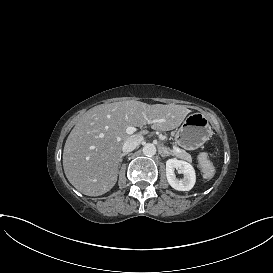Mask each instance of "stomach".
Here are the masks:
<instances>
[{
  "mask_svg": "<svg viewBox=\"0 0 273 273\" xmlns=\"http://www.w3.org/2000/svg\"><path fill=\"white\" fill-rule=\"evenodd\" d=\"M213 132L203 113L188 115L175 134L176 144L185 150H195L210 139Z\"/></svg>",
  "mask_w": 273,
  "mask_h": 273,
  "instance_id": "1",
  "label": "stomach"
}]
</instances>
